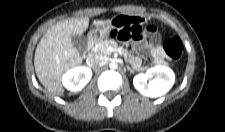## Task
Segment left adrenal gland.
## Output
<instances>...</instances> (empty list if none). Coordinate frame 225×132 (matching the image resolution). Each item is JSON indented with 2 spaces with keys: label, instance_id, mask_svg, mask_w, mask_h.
I'll return each instance as SVG.
<instances>
[{
  "label": "left adrenal gland",
  "instance_id": "a2214340",
  "mask_svg": "<svg viewBox=\"0 0 225 132\" xmlns=\"http://www.w3.org/2000/svg\"><path fill=\"white\" fill-rule=\"evenodd\" d=\"M127 69H128L131 73H133V70H132L130 67H127Z\"/></svg>",
  "mask_w": 225,
  "mask_h": 132
}]
</instances>
